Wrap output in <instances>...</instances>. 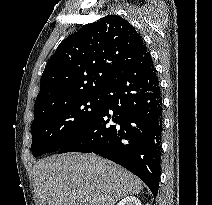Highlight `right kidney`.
<instances>
[{"instance_id": "obj_1", "label": "right kidney", "mask_w": 212, "mask_h": 205, "mask_svg": "<svg viewBox=\"0 0 212 205\" xmlns=\"http://www.w3.org/2000/svg\"><path fill=\"white\" fill-rule=\"evenodd\" d=\"M117 205H141L140 200L134 196L122 199Z\"/></svg>"}]
</instances>
